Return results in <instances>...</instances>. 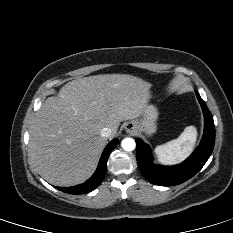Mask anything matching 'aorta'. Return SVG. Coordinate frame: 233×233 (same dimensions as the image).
Segmentation results:
<instances>
[{
  "label": "aorta",
  "mask_w": 233,
  "mask_h": 233,
  "mask_svg": "<svg viewBox=\"0 0 233 233\" xmlns=\"http://www.w3.org/2000/svg\"><path fill=\"white\" fill-rule=\"evenodd\" d=\"M121 146L125 151H133L136 148V142L132 138H124Z\"/></svg>",
  "instance_id": "obj_1"
}]
</instances>
